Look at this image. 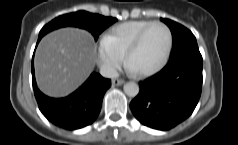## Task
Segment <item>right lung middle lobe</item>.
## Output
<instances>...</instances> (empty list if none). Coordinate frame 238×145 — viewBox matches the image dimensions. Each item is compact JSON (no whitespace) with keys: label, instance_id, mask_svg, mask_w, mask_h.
<instances>
[{"label":"right lung middle lobe","instance_id":"obj_1","mask_svg":"<svg viewBox=\"0 0 238 145\" xmlns=\"http://www.w3.org/2000/svg\"><path fill=\"white\" fill-rule=\"evenodd\" d=\"M116 21V18L104 17L86 11H77L61 15L46 24L41 29L39 38H42L45 34L57 28L74 26L88 30L94 36V39L97 40L101 32Z\"/></svg>","mask_w":238,"mask_h":145}]
</instances>
